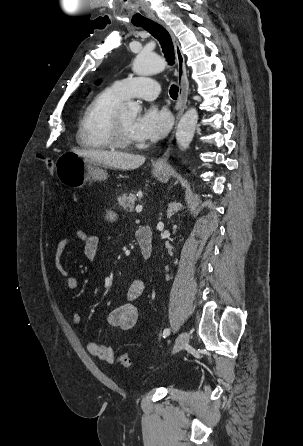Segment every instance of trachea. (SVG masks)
Listing matches in <instances>:
<instances>
[{
    "label": "trachea",
    "mask_w": 303,
    "mask_h": 446,
    "mask_svg": "<svg viewBox=\"0 0 303 446\" xmlns=\"http://www.w3.org/2000/svg\"><path fill=\"white\" fill-rule=\"evenodd\" d=\"M136 26L142 27L147 30L152 36H154L160 43L164 56L169 65L174 64V49L172 39L167 30L161 25L147 20L145 22L139 23ZM179 88L176 85H172L170 88V96L172 99L176 100L178 96Z\"/></svg>",
    "instance_id": "3493384b"
}]
</instances>
